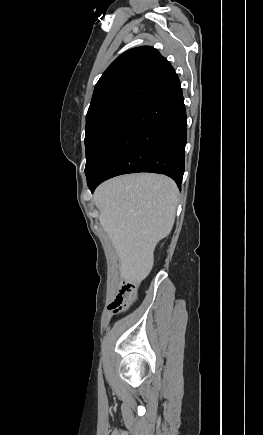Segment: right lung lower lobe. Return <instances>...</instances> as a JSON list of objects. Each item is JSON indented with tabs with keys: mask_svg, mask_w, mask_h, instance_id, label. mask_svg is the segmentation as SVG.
Instances as JSON below:
<instances>
[{
	"mask_svg": "<svg viewBox=\"0 0 263 435\" xmlns=\"http://www.w3.org/2000/svg\"><path fill=\"white\" fill-rule=\"evenodd\" d=\"M186 110L178 77L147 100L131 119L95 175L93 193L103 181L126 173L153 172L171 177L178 187L184 174Z\"/></svg>",
	"mask_w": 263,
	"mask_h": 435,
	"instance_id": "98d812e1",
	"label": "right lung lower lobe"
}]
</instances>
